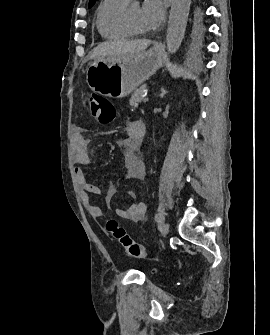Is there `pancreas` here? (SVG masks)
<instances>
[{
	"mask_svg": "<svg viewBox=\"0 0 270 335\" xmlns=\"http://www.w3.org/2000/svg\"><path fill=\"white\" fill-rule=\"evenodd\" d=\"M144 90H146V84H144V86H140V88H136L135 92H133L130 98V106H134V108H138L139 104L143 102Z\"/></svg>",
	"mask_w": 270,
	"mask_h": 335,
	"instance_id": "1",
	"label": "pancreas"
}]
</instances>
